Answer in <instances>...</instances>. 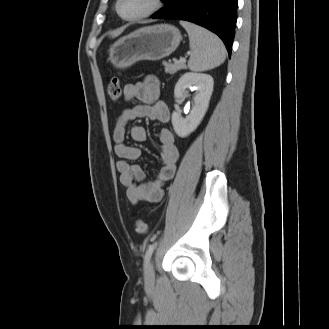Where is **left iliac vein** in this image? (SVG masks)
<instances>
[{"label": "left iliac vein", "instance_id": "obj_1", "mask_svg": "<svg viewBox=\"0 0 329 329\" xmlns=\"http://www.w3.org/2000/svg\"><path fill=\"white\" fill-rule=\"evenodd\" d=\"M155 279V270H154V265L153 262L151 261L145 270V280L148 283L153 282Z\"/></svg>", "mask_w": 329, "mask_h": 329}]
</instances>
